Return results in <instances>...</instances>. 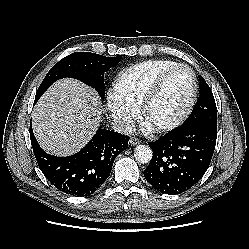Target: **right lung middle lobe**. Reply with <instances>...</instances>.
<instances>
[{
    "instance_id": "1",
    "label": "right lung middle lobe",
    "mask_w": 249,
    "mask_h": 249,
    "mask_svg": "<svg viewBox=\"0 0 249 249\" xmlns=\"http://www.w3.org/2000/svg\"><path fill=\"white\" fill-rule=\"evenodd\" d=\"M121 60V55L105 57L90 52H76L63 58L47 73L35 96L37 101L56 80L71 77L93 87L102 99L105 95L104 73Z\"/></svg>"
}]
</instances>
